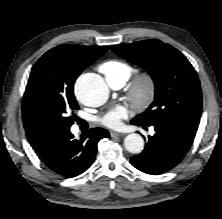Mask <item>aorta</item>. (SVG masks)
<instances>
[{"instance_id": "1", "label": "aorta", "mask_w": 222, "mask_h": 219, "mask_svg": "<svg viewBox=\"0 0 222 219\" xmlns=\"http://www.w3.org/2000/svg\"><path fill=\"white\" fill-rule=\"evenodd\" d=\"M78 99L86 106L98 107L104 104L109 96V90L101 76L93 73L81 75L75 84ZM126 150L140 153L144 148V140L137 133H131L124 139Z\"/></svg>"}]
</instances>
